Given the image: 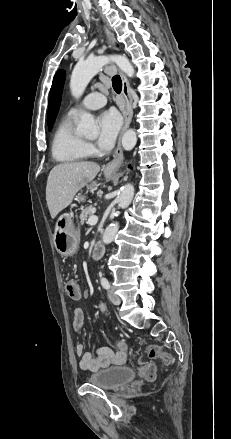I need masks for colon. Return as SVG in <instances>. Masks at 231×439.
Instances as JSON below:
<instances>
[{
	"label": "colon",
	"instance_id": "colon-1",
	"mask_svg": "<svg viewBox=\"0 0 231 439\" xmlns=\"http://www.w3.org/2000/svg\"><path fill=\"white\" fill-rule=\"evenodd\" d=\"M65 291L68 298H81L82 296L80 287L71 279L65 282ZM145 353L148 358L161 360L165 365H171L173 362L172 356L156 345L148 346L145 349ZM138 364V372L140 376L147 381H153L156 373L155 366L152 364H144L140 360L138 361Z\"/></svg>",
	"mask_w": 231,
	"mask_h": 439
}]
</instances>
